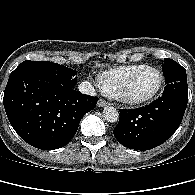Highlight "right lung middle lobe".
<instances>
[{
    "mask_svg": "<svg viewBox=\"0 0 195 195\" xmlns=\"http://www.w3.org/2000/svg\"><path fill=\"white\" fill-rule=\"evenodd\" d=\"M15 70H32L45 73L56 80L60 89H70L77 81L75 77L77 73L74 70L49 61L25 60Z\"/></svg>",
    "mask_w": 195,
    "mask_h": 195,
    "instance_id": "1",
    "label": "right lung middle lobe"
}]
</instances>
